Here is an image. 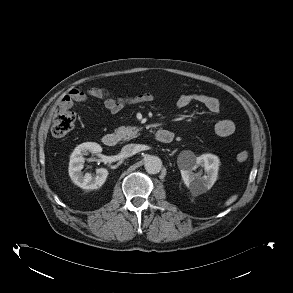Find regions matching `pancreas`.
Segmentation results:
<instances>
[{
    "label": "pancreas",
    "mask_w": 293,
    "mask_h": 293,
    "mask_svg": "<svg viewBox=\"0 0 293 293\" xmlns=\"http://www.w3.org/2000/svg\"><path fill=\"white\" fill-rule=\"evenodd\" d=\"M140 129L138 127L132 126H121L116 129V133L122 138L123 140H129L135 138L138 135Z\"/></svg>",
    "instance_id": "obj_1"
}]
</instances>
